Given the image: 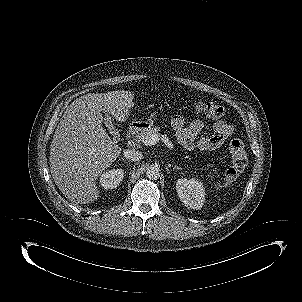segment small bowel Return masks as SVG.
Returning <instances> with one entry per match:
<instances>
[{"mask_svg":"<svg viewBox=\"0 0 302 302\" xmlns=\"http://www.w3.org/2000/svg\"><path fill=\"white\" fill-rule=\"evenodd\" d=\"M171 126L176 133L178 141L188 150L197 147L201 150H213L222 146L233 133L232 125L223 120L213 124V135L200 136L204 124L200 120H194L187 124L179 115L171 119Z\"/></svg>","mask_w":302,"mask_h":302,"instance_id":"small-bowel-1","label":"small bowel"}]
</instances>
